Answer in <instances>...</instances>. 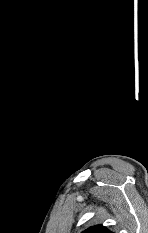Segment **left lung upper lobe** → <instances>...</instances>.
I'll return each instance as SVG.
<instances>
[{
  "instance_id": "1",
  "label": "left lung upper lobe",
  "mask_w": 148,
  "mask_h": 233,
  "mask_svg": "<svg viewBox=\"0 0 148 233\" xmlns=\"http://www.w3.org/2000/svg\"><path fill=\"white\" fill-rule=\"evenodd\" d=\"M82 233H112V232L102 225H95L86 229Z\"/></svg>"
}]
</instances>
